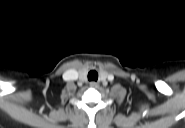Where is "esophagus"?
<instances>
[{
  "mask_svg": "<svg viewBox=\"0 0 185 128\" xmlns=\"http://www.w3.org/2000/svg\"><path fill=\"white\" fill-rule=\"evenodd\" d=\"M89 85L92 88H97L99 86V84L97 82H95V81L90 82Z\"/></svg>",
  "mask_w": 185,
  "mask_h": 128,
  "instance_id": "34e87169",
  "label": "esophagus"
}]
</instances>
